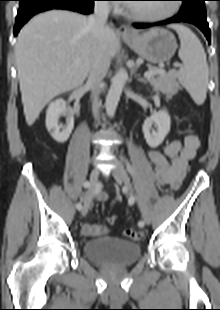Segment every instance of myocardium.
<instances>
[{
  "mask_svg": "<svg viewBox=\"0 0 220 310\" xmlns=\"http://www.w3.org/2000/svg\"><path fill=\"white\" fill-rule=\"evenodd\" d=\"M178 10H179L178 5L170 4L168 6V9L160 15H155V16L146 15V14H142V13L131 11V10L128 11V14L132 19L137 20V21L156 23V22H161V21H164L172 17L178 12Z\"/></svg>",
  "mask_w": 220,
  "mask_h": 310,
  "instance_id": "myocardium-1",
  "label": "myocardium"
}]
</instances>
